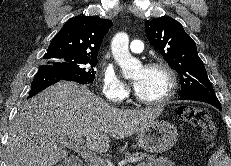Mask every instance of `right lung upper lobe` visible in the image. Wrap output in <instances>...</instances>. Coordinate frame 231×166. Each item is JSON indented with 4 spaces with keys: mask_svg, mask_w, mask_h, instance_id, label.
Segmentation results:
<instances>
[{
    "mask_svg": "<svg viewBox=\"0 0 231 166\" xmlns=\"http://www.w3.org/2000/svg\"><path fill=\"white\" fill-rule=\"evenodd\" d=\"M112 25V21L99 17H73L52 39L47 53L97 57L103 38Z\"/></svg>",
    "mask_w": 231,
    "mask_h": 166,
    "instance_id": "cb5924a9",
    "label": "right lung upper lobe"
}]
</instances>
